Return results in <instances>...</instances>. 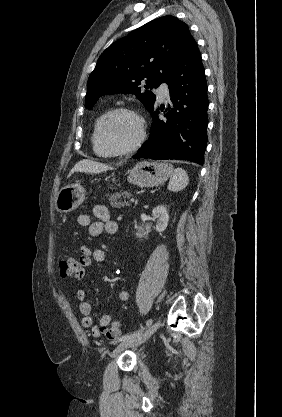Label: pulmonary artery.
Wrapping results in <instances>:
<instances>
[{
    "mask_svg": "<svg viewBox=\"0 0 282 417\" xmlns=\"http://www.w3.org/2000/svg\"><path fill=\"white\" fill-rule=\"evenodd\" d=\"M159 98L163 99L168 97V88L166 84H162L159 87V93H158Z\"/></svg>",
    "mask_w": 282,
    "mask_h": 417,
    "instance_id": "1",
    "label": "pulmonary artery"
}]
</instances>
